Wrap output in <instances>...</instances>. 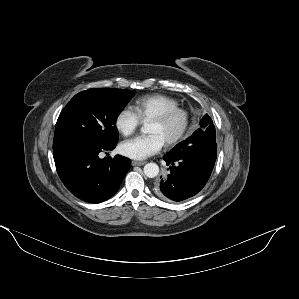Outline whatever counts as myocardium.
I'll return each instance as SVG.
<instances>
[{
    "instance_id": "obj_1",
    "label": "myocardium",
    "mask_w": 299,
    "mask_h": 299,
    "mask_svg": "<svg viewBox=\"0 0 299 299\" xmlns=\"http://www.w3.org/2000/svg\"><path fill=\"white\" fill-rule=\"evenodd\" d=\"M175 116H179L181 118V125L175 134L165 140L167 145H175L184 138L190 126V112L182 107H174L167 109L151 118L152 121L165 123Z\"/></svg>"
}]
</instances>
